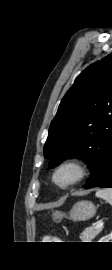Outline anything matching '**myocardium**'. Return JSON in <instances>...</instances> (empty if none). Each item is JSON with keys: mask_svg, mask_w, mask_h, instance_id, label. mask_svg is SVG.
Segmentation results:
<instances>
[{"mask_svg": "<svg viewBox=\"0 0 112 270\" xmlns=\"http://www.w3.org/2000/svg\"><path fill=\"white\" fill-rule=\"evenodd\" d=\"M65 171H71L73 175L69 180L62 182L59 177ZM88 173L86 162L77 156H71L62 159L54 167L51 173V182L59 190H68L84 181Z\"/></svg>", "mask_w": 112, "mask_h": 270, "instance_id": "obj_1", "label": "myocardium"}]
</instances>
